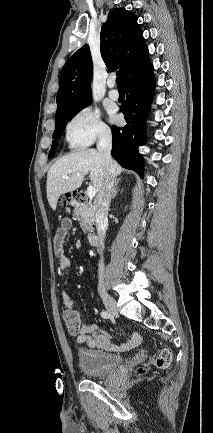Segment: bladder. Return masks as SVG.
Returning a JSON list of instances; mask_svg holds the SVG:
<instances>
[{
  "instance_id": "1",
  "label": "bladder",
  "mask_w": 213,
  "mask_h": 433,
  "mask_svg": "<svg viewBox=\"0 0 213 433\" xmlns=\"http://www.w3.org/2000/svg\"><path fill=\"white\" fill-rule=\"evenodd\" d=\"M81 371L88 377L101 378L115 372L123 362L120 355L82 348L78 351Z\"/></svg>"
}]
</instances>
